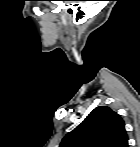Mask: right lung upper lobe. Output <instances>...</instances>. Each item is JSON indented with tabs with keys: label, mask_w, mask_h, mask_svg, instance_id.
Instances as JSON below:
<instances>
[{
	"label": "right lung upper lobe",
	"mask_w": 140,
	"mask_h": 147,
	"mask_svg": "<svg viewBox=\"0 0 140 147\" xmlns=\"http://www.w3.org/2000/svg\"><path fill=\"white\" fill-rule=\"evenodd\" d=\"M60 147H128L125 123L111 108L96 107L63 138Z\"/></svg>",
	"instance_id": "obj_1"
}]
</instances>
